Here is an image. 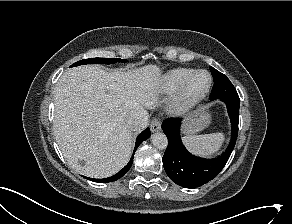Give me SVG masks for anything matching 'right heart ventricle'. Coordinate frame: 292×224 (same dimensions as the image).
I'll use <instances>...</instances> for the list:
<instances>
[{
    "label": "right heart ventricle",
    "mask_w": 292,
    "mask_h": 224,
    "mask_svg": "<svg viewBox=\"0 0 292 224\" xmlns=\"http://www.w3.org/2000/svg\"><path fill=\"white\" fill-rule=\"evenodd\" d=\"M195 71L193 68H174L165 73L159 80V87L167 94L176 93L184 80Z\"/></svg>",
    "instance_id": "right-heart-ventricle-1"
}]
</instances>
